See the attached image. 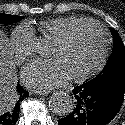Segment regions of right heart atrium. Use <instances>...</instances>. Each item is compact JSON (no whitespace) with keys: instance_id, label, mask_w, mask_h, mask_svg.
<instances>
[{"instance_id":"d8ad5b80","label":"right heart atrium","mask_w":125,"mask_h":125,"mask_svg":"<svg viewBox=\"0 0 125 125\" xmlns=\"http://www.w3.org/2000/svg\"><path fill=\"white\" fill-rule=\"evenodd\" d=\"M36 47V37L29 25H20L13 30L9 49L15 63L22 64L31 58L36 52Z\"/></svg>"}]
</instances>
